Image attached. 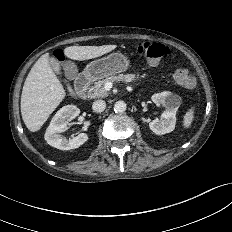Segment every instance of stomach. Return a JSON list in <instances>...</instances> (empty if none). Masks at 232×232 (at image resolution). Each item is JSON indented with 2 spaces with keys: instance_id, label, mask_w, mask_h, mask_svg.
I'll use <instances>...</instances> for the list:
<instances>
[{
  "instance_id": "0dacf381",
  "label": "stomach",
  "mask_w": 232,
  "mask_h": 232,
  "mask_svg": "<svg viewBox=\"0 0 232 232\" xmlns=\"http://www.w3.org/2000/svg\"><path fill=\"white\" fill-rule=\"evenodd\" d=\"M128 66L129 60L127 57L120 52H114L108 56L90 62L86 66L84 74L90 80H97L124 72L127 70Z\"/></svg>"
}]
</instances>
